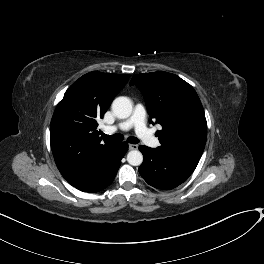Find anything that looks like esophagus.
Wrapping results in <instances>:
<instances>
[{
    "instance_id": "1",
    "label": "esophagus",
    "mask_w": 264,
    "mask_h": 264,
    "mask_svg": "<svg viewBox=\"0 0 264 264\" xmlns=\"http://www.w3.org/2000/svg\"><path fill=\"white\" fill-rule=\"evenodd\" d=\"M136 149H138L137 144H129V150H136Z\"/></svg>"
}]
</instances>
